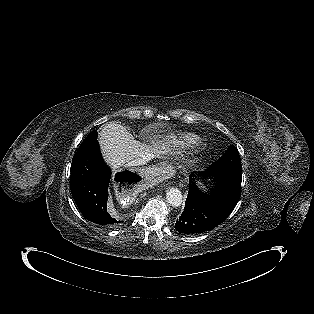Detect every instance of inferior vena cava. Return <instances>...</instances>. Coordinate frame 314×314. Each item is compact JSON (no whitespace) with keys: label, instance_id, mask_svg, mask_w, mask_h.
Instances as JSON below:
<instances>
[{"label":"inferior vena cava","instance_id":"inferior-vena-cava-1","mask_svg":"<svg viewBox=\"0 0 314 314\" xmlns=\"http://www.w3.org/2000/svg\"><path fill=\"white\" fill-rule=\"evenodd\" d=\"M151 157L150 156H144L142 158H137V159H134L130 162L127 163L128 166H139V165H145L146 162L148 160H150Z\"/></svg>","mask_w":314,"mask_h":314}]
</instances>
